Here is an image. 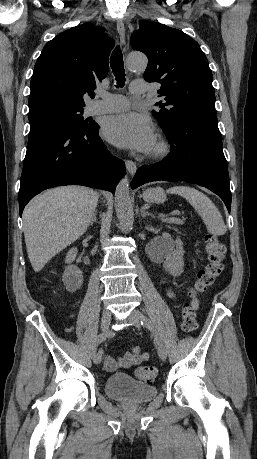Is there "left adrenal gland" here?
Here are the masks:
<instances>
[{"label": "left adrenal gland", "instance_id": "left-adrenal-gland-1", "mask_svg": "<svg viewBox=\"0 0 257 459\" xmlns=\"http://www.w3.org/2000/svg\"><path fill=\"white\" fill-rule=\"evenodd\" d=\"M147 209V205L142 206V208L140 209L142 218H145L146 216H151L155 218V216L152 213L148 212Z\"/></svg>", "mask_w": 257, "mask_h": 459}]
</instances>
